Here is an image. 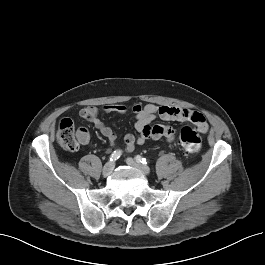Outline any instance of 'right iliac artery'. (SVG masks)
<instances>
[{
    "label": "right iliac artery",
    "instance_id": "right-iliac-artery-1",
    "mask_svg": "<svg viewBox=\"0 0 265 265\" xmlns=\"http://www.w3.org/2000/svg\"><path fill=\"white\" fill-rule=\"evenodd\" d=\"M121 155H122V151H121V150H115V151L110 155V161H116L117 159L120 158Z\"/></svg>",
    "mask_w": 265,
    "mask_h": 265
}]
</instances>
